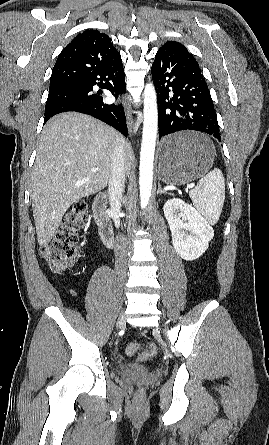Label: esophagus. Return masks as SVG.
I'll return each instance as SVG.
<instances>
[{"label": "esophagus", "instance_id": "esophagus-1", "mask_svg": "<svg viewBox=\"0 0 269 445\" xmlns=\"http://www.w3.org/2000/svg\"><path fill=\"white\" fill-rule=\"evenodd\" d=\"M123 106H124V110H125V115H126V121H127V126H128V130L131 133L133 130V125H134V120L131 114V108L129 105V102L127 100V96H123Z\"/></svg>", "mask_w": 269, "mask_h": 445}]
</instances>
